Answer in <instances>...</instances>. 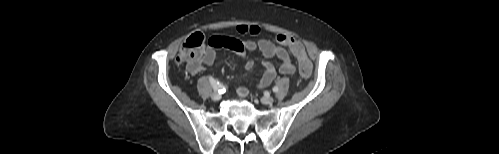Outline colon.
<instances>
[{
  "label": "colon",
  "mask_w": 499,
  "mask_h": 154,
  "mask_svg": "<svg viewBox=\"0 0 499 154\" xmlns=\"http://www.w3.org/2000/svg\"><path fill=\"white\" fill-rule=\"evenodd\" d=\"M276 41L286 47L298 60V68L302 77H309L312 73V63L306 55L303 45L294 37L287 34H278ZM205 50V37L201 33H193L181 45L177 62H184L187 66H198Z\"/></svg>",
  "instance_id": "obj_1"
}]
</instances>
